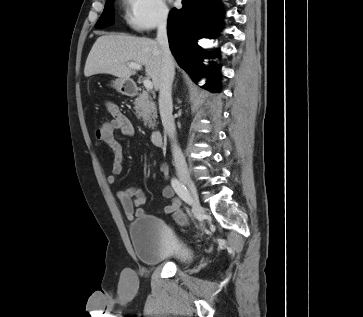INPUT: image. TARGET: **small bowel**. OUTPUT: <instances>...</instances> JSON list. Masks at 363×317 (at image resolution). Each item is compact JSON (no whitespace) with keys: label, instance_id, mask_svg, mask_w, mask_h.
Returning a JSON list of instances; mask_svg holds the SVG:
<instances>
[{"label":"small bowel","instance_id":"1","mask_svg":"<svg viewBox=\"0 0 363 317\" xmlns=\"http://www.w3.org/2000/svg\"><path fill=\"white\" fill-rule=\"evenodd\" d=\"M107 110L112 116V120L100 126L95 131L96 137L106 144L113 154V166L110 174L107 176V182L113 185L117 176L123 171V147L115 138V132L119 131L122 135L130 137L134 134V127L130 119L120 110V108L112 103H107ZM160 171L164 179H168L169 171L166 164L160 165ZM162 194L165 198L171 199V203L162 210L165 214H178L181 209V200L175 197L174 190L171 186L166 185ZM115 197L122 207L124 213L129 220L135 217L145 215V211L141 206L146 202L144 191L138 187H129L125 190L115 192Z\"/></svg>","mask_w":363,"mask_h":317}]
</instances>
